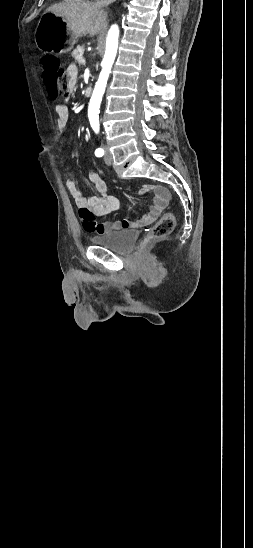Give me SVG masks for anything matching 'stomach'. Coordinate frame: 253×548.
I'll use <instances>...</instances> for the list:
<instances>
[{"label": "stomach", "instance_id": "stomach-1", "mask_svg": "<svg viewBox=\"0 0 253 548\" xmlns=\"http://www.w3.org/2000/svg\"><path fill=\"white\" fill-rule=\"evenodd\" d=\"M35 44L44 53L61 55L73 49L75 39L62 17L45 12L36 28Z\"/></svg>", "mask_w": 253, "mask_h": 548}]
</instances>
